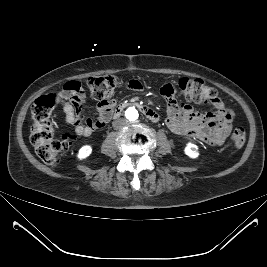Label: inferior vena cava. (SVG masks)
<instances>
[{"mask_svg": "<svg viewBox=\"0 0 267 267\" xmlns=\"http://www.w3.org/2000/svg\"><path fill=\"white\" fill-rule=\"evenodd\" d=\"M126 124H127V120L120 118V119H117L113 122V127H114V129H120V128L124 127Z\"/></svg>", "mask_w": 267, "mask_h": 267, "instance_id": "1", "label": "inferior vena cava"}]
</instances>
